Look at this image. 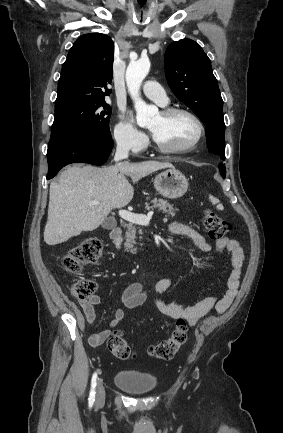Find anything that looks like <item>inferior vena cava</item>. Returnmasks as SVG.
I'll return each mask as SVG.
<instances>
[{
    "mask_svg": "<svg viewBox=\"0 0 283 433\" xmlns=\"http://www.w3.org/2000/svg\"><path fill=\"white\" fill-rule=\"evenodd\" d=\"M130 148L128 144H117L114 160H122V158H128V152Z\"/></svg>",
    "mask_w": 283,
    "mask_h": 433,
    "instance_id": "inferior-vena-cava-1",
    "label": "inferior vena cava"
}]
</instances>
